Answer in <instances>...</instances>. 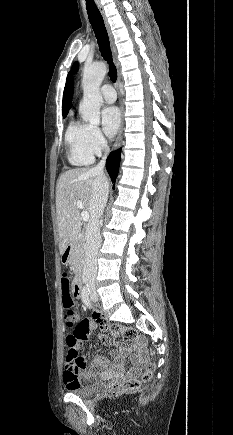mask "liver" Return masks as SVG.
Wrapping results in <instances>:
<instances>
[{"label":"liver","mask_w":233,"mask_h":435,"mask_svg":"<svg viewBox=\"0 0 233 435\" xmlns=\"http://www.w3.org/2000/svg\"><path fill=\"white\" fill-rule=\"evenodd\" d=\"M96 175L89 168L65 171L56 186V212L59 232V250L63 254L68 244L80 232V211L77 201H82L84 211H89V202Z\"/></svg>","instance_id":"1"}]
</instances>
